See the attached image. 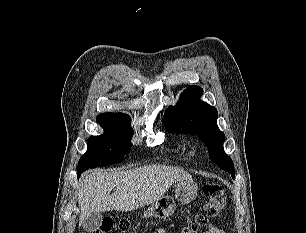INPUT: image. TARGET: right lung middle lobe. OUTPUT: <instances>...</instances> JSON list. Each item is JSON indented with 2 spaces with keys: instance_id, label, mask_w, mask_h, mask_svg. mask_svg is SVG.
<instances>
[{
  "instance_id": "dd1d6c3e",
  "label": "right lung middle lobe",
  "mask_w": 306,
  "mask_h": 233,
  "mask_svg": "<svg viewBox=\"0 0 306 233\" xmlns=\"http://www.w3.org/2000/svg\"><path fill=\"white\" fill-rule=\"evenodd\" d=\"M96 119L104 129V134L88 139L87 152L78 162V177L89 168L121 162L132 146L130 117L101 114Z\"/></svg>"
}]
</instances>
